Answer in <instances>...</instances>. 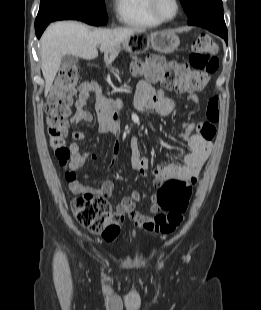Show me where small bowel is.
Wrapping results in <instances>:
<instances>
[{
  "label": "small bowel",
  "instance_id": "small-bowel-1",
  "mask_svg": "<svg viewBox=\"0 0 261 310\" xmlns=\"http://www.w3.org/2000/svg\"><path fill=\"white\" fill-rule=\"evenodd\" d=\"M91 94H96L98 96V109L101 114H103L105 108L107 107L120 109L122 106L119 99L105 96L95 82H83L79 86L76 112L72 118L73 124L77 125L81 122L92 121L93 116L86 108ZM188 101L193 104H197L199 102V97L197 94L191 93L188 96ZM135 106L138 110L152 109L160 115H167L173 110L175 102L171 98L165 97L162 91L156 89L147 81H141L139 83L135 98ZM196 127L197 126L192 122L184 123L183 131L180 133V137L188 142L189 152L183 157L179 164H160L153 170L152 174L154 177V184L156 186L173 177H179L183 180L191 182L192 184L196 182L212 149V139L204 138L198 133ZM100 130L102 132H114V126L102 117L100 121ZM73 138L75 141L69 146L71 152L69 167L70 172L75 174L76 171L83 167L88 158L95 160L97 156L92 152L81 151L78 141L85 138V133L83 131L75 130L73 132ZM130 149L132 167L145 176L150 168V161L147 157L141 155L137 138L131 139ZM113 153L114 158L109 170L115 166L118 159V142H116L113 146ZM69 188L76 194L96 193L97 195L104 196L105 198H111L113 195V183L109 180H105L100 188L93 189L84 186L75 178V180L70 181ZM139 201L140 194L138 192H133L131 195L124 197L116 206V214L120 216L128 214L130 219L134 221L135 224L145 228V225L152 222L154 218L149 215H144L136 210L135 205ZM159 211L160 208L153 203L150 207V213L157 214Z\"/></svg>",
  "mask_w": 261,
  "mask_h": 310
}]
</instances>
